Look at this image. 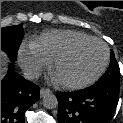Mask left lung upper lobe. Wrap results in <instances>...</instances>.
Returning a JSON list of instances; mask_svg holds the SVG:
<instances>
[{"mask_svg": "<svg viewBox=\"0 0 123 123\" xmlns=\"http://www.w3.org/2000/svg\"><path fill=\"white\" fill-rule=\"evenodd\" d=\"M119 66L115 59V55L111 52L110 65L105 74L97 81L98 83H108L119 85Z\"/></svg>", "mask_w": 123, "mask_h": 123, "instance_id": "left-lung-upper-lobe-1", "label": "left lung upper lobe"}]
</instances>
